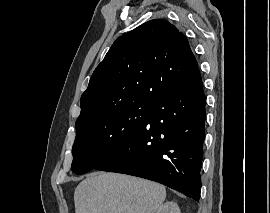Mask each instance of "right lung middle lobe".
Segmentation results:
<instances>
[{"label":"right lung middle lobe","mask_w":270,"mask_h":213,"mask_svg":"<svg viewBox=\"0 0 270 213\" xmlns=\"http://www.w3.org/2000/svg\"><path fill=\"white\" fill-rule=\"evenodd\" d=\"M153 106V103L133 102L76 123L71 170L84 174L107 160L141 128Z\"/></svg>","instance_id":"dd1d6c3e"}]
</instances>
